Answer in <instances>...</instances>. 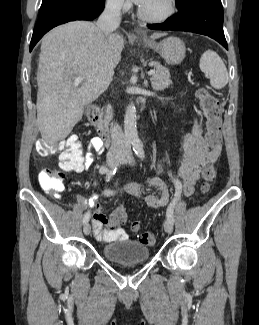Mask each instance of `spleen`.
<instances>
[{
  "label": "spleen",
  "instance_id": "3e777b00",
  "mask_svg": "<svg viewBox=\"0 0 259 325\" xmlns=\"http://www.w3.org/2000/svg\"><path fill=\"white\" fill-rule=\"evenodd\" d=\"M199 66L201 71L209 76L210 84L213 88L222 89L227 85V68L215 51H205L200 58Z\"/></svg>",
  "mask_w": 259,
  "mask_h": 325
}]
</instances>
